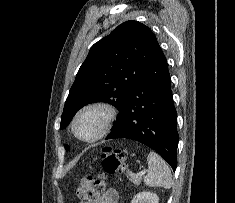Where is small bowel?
<instances>
[{"instance_id": "obj_1", "label": "small bowel", "mask_w": 235, "mask_h": 203, "mask_svg": "<svg viewBox=\"0 0 235 203\" xmlns=\"http://www.w3.org/2000/svg\"><path fill=\"white\" fill-rule=\"evenodd\" d=\"M119 194L114 187H109L105 190L102 197L94 199L86 203H118Z\"/></svg>"}]
</instances>
